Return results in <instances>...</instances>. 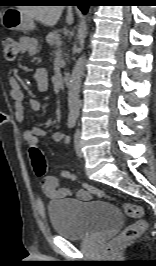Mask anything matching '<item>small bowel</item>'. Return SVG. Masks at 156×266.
I'll list each match as a JSON object with an SVG mask.
<instances>
[{"mask_svg":"<svg viewBox=\"0 0 156 266\" xmlns=\"http://www.w3.org/2000/svg\"><path fill=\"white\" fill-rule=\"evenodd\" d=\"M19 50L23 54L33 55L37 51V42L30 37H22L19 40ZM35 79L41 89L47 87V75L43 69L37 70ZM9 94L14 102V115L19 124H24L25 121V105H24V92L16 78L9 79ZM30 107L38 111L41 108L37 100H30ZM46 131L40 127H32L23 131V139L28 144L29 148L37 146L41 137L45 136ZM54 141H69L68 137L61 132H54L52 134ZM42 189L44 193L53 199L65 198L75 194L80 200H89L91 194L84 189L73 191L69 187L60 186L59 180L54 176H47L42 181Z\"/></svg>","mask_w":156,"mask_h":266,"instance_id":"obj_1","label":"small bowel"}]
</instances>
